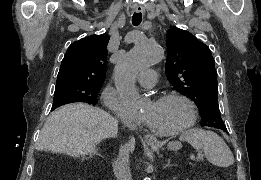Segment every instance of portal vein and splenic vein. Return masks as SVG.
<instances>
[{
    "label": "portal vein and splenic vein",
    "instance_id": "portal-vein-and-splenic-vein-1",
    "mask_svg": "<svg viewBox=\"0 0 261 180\" xmlns=\"http://www.w3.org/2000/svg\"><path fill=\"white\" fill-rule=\"evenodd\" d=\"M192 157H194V160H201V158L205 157V154L199 153L198 155H196V157H195V154H192Z\"/></svg>",
    "mask_w": 261,
    "mask_h": 180
}]
</instances>
